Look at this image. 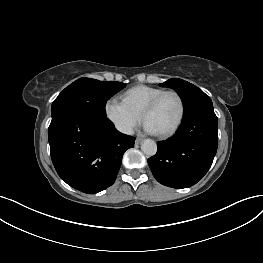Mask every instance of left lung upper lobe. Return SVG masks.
Masks as SVG:
<instances>
[{"mask_svg": "<svg viewBox=\"0 0 263 263\" xmlns=\"http://www.w3.org/2000/svg\"><path fill=\"white\" fill-rule=\"evenodd\" d=\"M174 89L184 104V119L201 111L213 109L212 101L201 89L178 78H172L159 84Z\"/></svg>", "mask_w": 263, "mask_h": 263, "instance_id": "1", "label": "left lung upper lobe"}]
</instances>
